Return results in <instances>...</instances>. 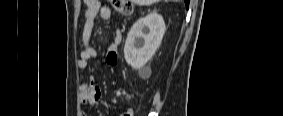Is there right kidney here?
<instances>
[{
  "instance_id": "obj_1",
  "label": "right kidney",
  "mask_w": 283,
  "mask_h": 116,
  "mask_svg": "<svg viewBox=\"0 0 283 116\" xmlns=\"http://www.w3.org/2000/svg\"><path fill=\"white\" fill-rule=\"evenodd\" d=\"M163 17L155 12L132 26L124 46V57L133 69L143 67L155 54L165 33Z\"/></svg>"
}]
</instances>
